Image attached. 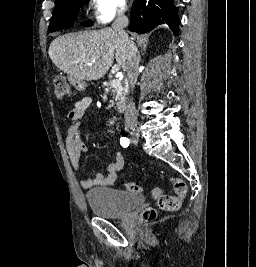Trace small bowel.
<instances>
[{
    "mask_svg": "<svg viewBox=\"0 0 256 267\" xmlns=\"http://www.w3.org/2000/svg\"><path fill=\"white\" fill-rule=\"evenodd\" d=\"M91 104V99L85 96L78 100L73 108L68 112L67 118L71 124L68 127L65 148L69 161L75 172H82V164L80 156L88 152L81 138V120L84 118L87 109ZM127 158L121 153L115 157V161L110 163L107 167V174L96 173L93 177L83 178L81 186L83 189H91L94 187H111L116 183L118 173L123 169Z\"/></svg>",
    "mask_w": 256,
    "mask_h": 267,
    "instance_id": "obj_1",
    "label": "small bowel"
}]
</instances>
